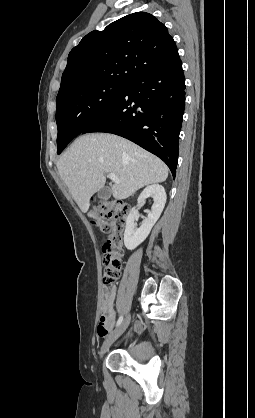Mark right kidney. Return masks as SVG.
I'll use <instances>...</instances> for the list:
<instances>
[{
  "mask_svg": "<svg viewBox=\"0 0 255 418\" xmlns=\"http://www.w3.org/2000/svg\"><path fill=\"white\" fill-rule=\"evenodd\" d=\"M149 197L153 199L154 203L151 210L147 211V217L144 218L140 228H137L135 222L138 215L135 207L131 209L126 219L124 244L128 250L135 249L147 238L164 209L167 196L163 186L159 184L147 186L138 197V205H144L145 200Z\"/></svg>",
  "mask_w": 255,
  "mask_h": 418,
  "instance_id": "right-kidney-1",
  "label": "right kidney"
}]
</instances>
